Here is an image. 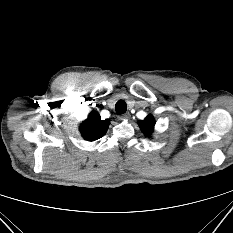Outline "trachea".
<instances>
[{
    "mask_svg": "<svg viewBox=\"0 0 233 233\" xmlns=\"http://www.w3.org/2000/svg\"><path fill=\"white\" fill-rule=\"evenodd\" d=\"M127 110V104L123 100H119L115 105V111L118 115L125 113Z\"/></svg>",
    "mask_w": 233,
    "mask_h": 233,
    "instance_id": "trachea-1",
    "label": "trachea"
}]
</instances>
